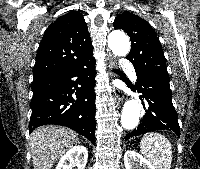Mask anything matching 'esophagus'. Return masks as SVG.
I'll use <instances>...</instances> for the list:
<instances>
[{
    "label": "esophagus",
    "instance_id": "esophagus-1",
    "mask_svg": "<svg viewBox=\"0 0 200 169\" xmlns=\"http://www.w3.org/2000/svg\"><path fill=\"white\" fill-rule=\"evenodd\" d=\"M116 65H117V62H116L115 56H111V58L109 59V67H110L109 76L111 79H114L116 77L115 73L112 71V68L116 67ZM113 93L118 103L123 101L124 95L121 90L114 88Z\"/></svg>",
    "mask_w": 200,
    "mask_h": 169
}]
</instances>
